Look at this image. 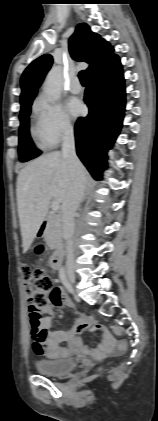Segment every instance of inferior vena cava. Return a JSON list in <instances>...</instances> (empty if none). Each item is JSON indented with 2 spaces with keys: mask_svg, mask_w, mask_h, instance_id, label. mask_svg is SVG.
Wrapping results in <instances>:
<instances>
[{
  "mask_svg": "<svg viewBox=\"0 0 158 421\" xmlns=\"http://www.w3.org/2000/svg\"><path fill=\"white\" fill-rule=\"evenodd\" d=\"M62 156L67 158L70 184L62 206V234L66 241L67 264L73 262L71 239L74 234L76 211L83 200L87 176L86 170L76 155L74 131L71 125H65L62 136Z\"/></svg>",
  "mask_w": 158,
  "mask_h": 421,
  "instance_id": "602c4592",
  "label": "inferior vena cava"
}]
</instances>
